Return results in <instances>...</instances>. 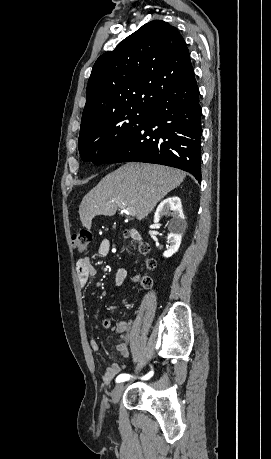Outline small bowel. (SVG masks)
<instances>
[{
  "instance_id": "1",
  "label": "small bowel",
  "mask_w": 271,
  "mask_h": 459,
  "mask_svg": "<svg viewBox=\"0 0 271 459\" xmlns=\"http://www.w3.org/2000/svg\"><path fill=\"white\" fill-rule=\"evenodd\" d=\"M111 246L110 242L107 239H102L97 246V254L99 256H107L110 252ZM76 272L79 280V284L82 288H85L88 284V281L91 277L96 275V269L92 265L91 258L89 256L80 257L76 263ZM127 275L125 269H120L117 271L114 279L116 286L122 285ZM112 320L111 318H106L102 322V326L105 329L111 327ZM132 321H121L116 326V333L119 337V342L116 344V350L123 357H128L130 354V329ZM90 348L93 351L99 350V343L95 339L90 340ZM125 368V365L119 363H113L106 371L103 373V390L109 387L112 380Z\"/></svg>"
}]
</instances>
